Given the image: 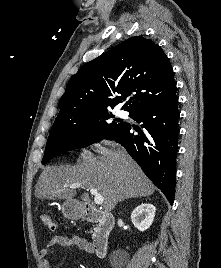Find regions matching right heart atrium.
<instances>
[{"label":"right heart atrium","instance_id":"obj_1","mask_svg":"<svg viewBox=\"0 0 221 268\" xmlns=\"http://www.w3.org/2000/svg\"><path fill=\"white\" fill-rule=\"evenodd\" d=\"M85 136H86L87 147L94 146L100 140V135L98 131H96L92 125H89L85 128Z\"/></svg>","mask_w":221,"mask_h":268}]
</instances>
